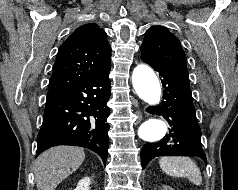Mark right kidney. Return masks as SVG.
I'll use <instances>...</instances> for the list:
<instances>
[{
    "label": "right kidney",
    "instance_id": "1",
    "mask_svg": "<svg viewBox=\"0 0 238 190\" xmlns=\"http://www.w3.org/2000/svg\"><path fill=\"white\" fill-rule=\"evenodd\" d=\"M90 178L84 177L81 179L77 185V187L74 190H90Z\"/></svg>",
    "mask_w": 238,
    "mask_h": 190
}]
</instances>
